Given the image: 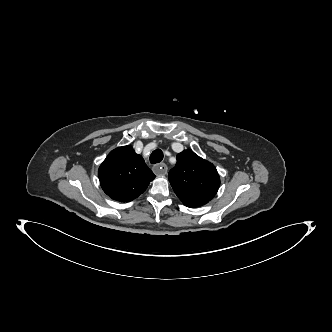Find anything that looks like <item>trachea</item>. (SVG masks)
<instances>
[{"instance_id":"trachea-1","label":"trachea","mask_w":332,"mask_h":332,"mask_svg":"<svg viewBox=\"0 0 332 332\" xmlns=\"http://www.w3.org/2000/svg\"><path fill=\"white\" fill-rule=\"evenodd\" d=\"M163 159V152L160 149L154 150L150 155V163L156 164L161 162Z\"/></svg>"}]
</instances>
